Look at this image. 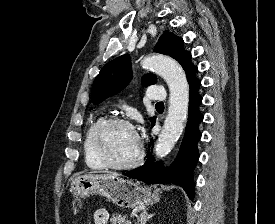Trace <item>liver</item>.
Wrapping results in <instances>:
<instances>
[{
    "label": "liver",
    "mask_w": 275,
    "mask_h": 224,
    "mask_svg": "<svg viewBox=\"0 0 275 224\" xmlns=\"http://www.w3.org/2000/svg\"><path fill=\"white\" fill-rule=\"evenodd\" d=\"M109 174L112 175V176H118L117 173H113V172H110Z\"/></svg>",
    "instance_id": "obj_1"
}]
</instances>
